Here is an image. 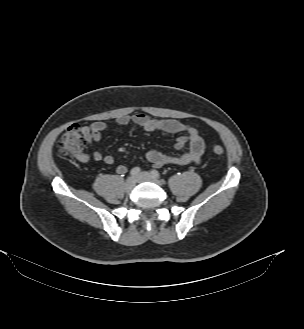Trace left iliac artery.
I'll list each match as a JSON object with an SVG mask.
<instances>
[{
	"mask_svg": "<svg viewBox=\"0 0 304 329\" xmlns=\"http://www.w3.org/2000/svg\"><path fill=\"white\" fill-rule=\"evenodd\" d=\"M151 174L155 177V178H160V174L157 170H152Z\"/></svg>",
	"mask_w": 304,
	"mask_h": 329,
	"instance_id": "1",
	"label": "left iliac artery"
}]
</instances>
